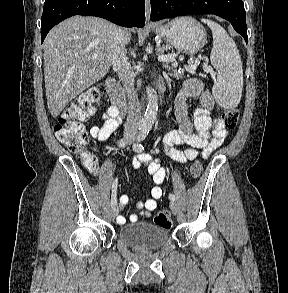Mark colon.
Returning a JSON list of instances; mask_svg holds the SVG:
<instances>
[{
	"instance_id": "colon-1",
	"label": "colon",
	"mask_w": 288,
	"mask_h": 293,
	"mask_svg": "<svg viewBox=\"0 0 288 293\" xmlns=\"http://www.w3.org/2000/svg\"><path fill=\"white\" fill-rule=\"evenodd\" d=\"M105 95L103 87L97 86L90 89L78 100L67 106L54 126L56 138L63 143L73 154L81 158L84 167L91 173L98 170L96 157L86 150L88 133L83 122L94 112ZM239 110L231 108L222 115V121L226 128L234 129L239 120ZM203 172V164L196 160L190 167L191 176L196 179ZM156 225L170 228L172 225L171 215L167 211H160L154 218Z\"/></svg>"
}]
</instances>
